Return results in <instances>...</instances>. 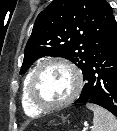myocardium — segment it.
<instances>
[{
  "mask_svg": "<svg viewBox=\"0 0 117 131\" xmlns=\"http://www.w3.org/2000/svg\"><path fill=\"white\" fill-rule=\"evenodd\" d=\"M49 65H62L66 68H68L74 75L75 78V87L72 91V93L70 94V96L68 98H66L65 100L56 103V104H45L41 101H39L35 95L34 92V86H35V81L36 78L39 74V72L46 66ZM83 87V76L82 73L80 71V69L73 63H71L70 61L64 60V59H48L45 60L43 62H41L40 64H38L32 71L30 78H29V82H28V95L30 98L31 103L39 110L41 111H54V110H58L61 109L69 104H71L80 94L81 90Z\"/></svg>",
  "mask_w": 117,
  "mask_h": 131,
  "instance_id": "f54148a6",
  "label": "myocardium"
}]
</instances>
